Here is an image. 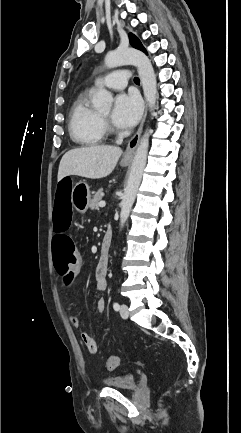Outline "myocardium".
<instances>
[{
  "mask_svg": "<svg viewBox=\"0 0 241 433\" xmlns=\"http://www.w3.org/2000/svg\"><path fill=\"white\" fill-rule=\"evenodd\" d=\"M100 118H101V121H102V124H103L105 130L106 129H110L108 118H106V117H104L102 115H100Z\"/></svg>",
  "mask_w": 241,
  "mask_h": 433,
  "instance_id": "1",
  "label": "myocardium"
}]
</instances>
